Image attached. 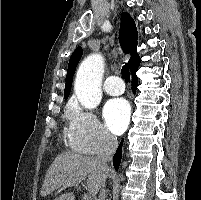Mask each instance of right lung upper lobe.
Instances as JSON below:
<instances>
[{
    "label": "right lung upper lobe",
    "mask_w": 201,
    "mask_h": 200,
    "mask_svg": "<svg viewBox=\"0 0 201 200\" xmlns=\"http://www.w3.org/2000/svg\"><path fill=\"white\" fill-rule=\"evenodd\" d=\"M137 29L135 25V21L128 13H122L121 15V24H120V31H119V41L120 45L124 51V53L131 55L130 60L128 61V65L130 67L131 73L137 71L141 59L136 51L137 47ZM83 54V50L81 47H78L70 57V61L68 64V70L66 75V84L64 90V98L67 99L72 84V78L74 76V72L78 62L81 59Z\"/></svg>",
    "instance_id": "cb5924a9"
}]
</instances>
